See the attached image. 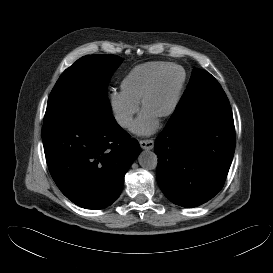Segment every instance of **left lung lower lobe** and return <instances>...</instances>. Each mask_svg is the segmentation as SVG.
I'll use <instances>...</instances> for the list:
<instances>
[{
    "label": "left lung lower lobe",
    "mask_w": 273,
    "mask_h": 273,
    "mask_svg": "<svg viewBox=\"0 0 273 273\" xmlns=\"http://www.w3.org/2000/svg\"><path fill=\"white\" fill-rule=\"evenodd\" d=\"M234 150V120L225 92L195 97L156 138L158 184L174 204L199 206L222 189Z\"/></svg>",
    "instance_id": "0a47b994"
}]
</instances>
